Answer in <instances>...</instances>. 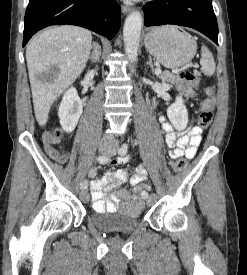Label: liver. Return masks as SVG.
<instances>
[{"mask_svg":"<svg viewBox=\"0 0 247 275\" xmlns=\"http://www.w3.org/2000/svg\"><path fill=\"white\" fill-rule=\"evenodd\" d=\"M92 43L91 32L73 25L54 26L33 37L26 48L35 117L40 126L47 123L52 104L74 83L86 67ZM55 67L49 81L38 79Z\"/></svg>","mask_w":247,"mask_h":275,"instance_id":"liver-1","label":"liver"}]
</instances>
